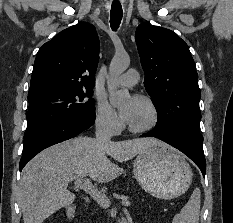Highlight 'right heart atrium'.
<instances>
[{"mask_svg":"<svg viewBox=\"0 0 233 223\" xmlns=\"http://www.w3.org/2000/svg\"><path fill=\"white\" fill-rule=\"evenodd\" d=\"M95 123L97 128L107 134L115 135L121 130V121L114 109L104 101H98Z\"/></svg>","mask_w":233,"mask_h":223,"instance_id":"obj_1","label":"right heart atrium"}]
</instances>
